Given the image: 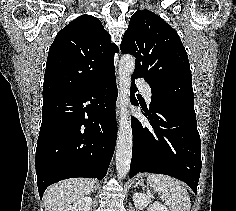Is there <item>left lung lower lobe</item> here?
<instances>
[{
  "instance_id": "obj_1",
  "label": "left lung lower lobe",
  "mask_w": 236,
  "mask_h": 211,
  "mask_svg": "<svg viewBox=\"0 0 236 211\" xmlns=\"http://www.w3.org/2000/svg\"><path fill=\"white\" fill-rule=\"evenodd\" d=\"M131 86L132 104L138 106ZM149 125L132 117L133 155L130 177L138 172L166 174L187 183L197 193L201 172V141L193 111L171 107L152 92L149 109L142 112Z\"/></svg>"
}]
</instances>
